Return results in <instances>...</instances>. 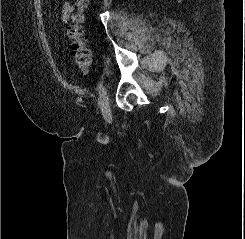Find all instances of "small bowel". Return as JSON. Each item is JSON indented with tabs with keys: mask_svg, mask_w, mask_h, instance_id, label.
Here are the masks:
<instances>
[{
	"mask_svg": "<svg viewBox=\"0 0 245 239\" xmlns=\"http://www.w3.org/2000/svg\"><path fill=\"white\" fill-rule=\"evenodd\" d=\"M72 11H73V6L69 2H66L63 5V9H62V18L64 21H67L69 19Z\"/></svg>",
	"mask_w": 245,
	"mask_h": 239,
	"instance_id": "small-bowel-1",
	"label": "small bowel"
}]
</instances>
